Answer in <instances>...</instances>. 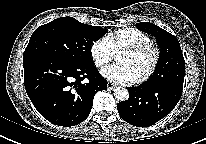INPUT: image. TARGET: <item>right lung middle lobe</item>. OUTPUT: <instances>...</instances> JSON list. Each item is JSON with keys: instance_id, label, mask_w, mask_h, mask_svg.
<instances>
[{"instance_id": "1", "label": "right lung middle lobe", "mask_w": 206, "mask_h": 144, "mask_svg": "<svg viewBox=\"0 0 206 144\" xmlns=\"http://www.w3.org/2000/svg\"><path fill=\"white\" fill-rule=\"evenodd\" d=\"M106 31L72 17L58 18L34 31L23 58L45 56L72 64L92 63L90 48Z\"/></svg>"}]
</instances>
